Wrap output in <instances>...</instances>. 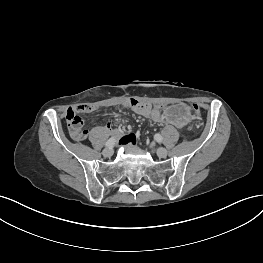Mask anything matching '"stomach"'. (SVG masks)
Returning a JSON list of instances; mask_svg holds the SVG:
<instances>
[{
  "label": "stomach",
  "mask_w": 263,
  "mask_h": 263,
  "mask_svg": "<svg viewBox=\"0 0 263 263\" xmlns=\"http://www.w3.org/2000/svg\"><path fill=\"white\" fill-rule=\"evenodd\" d=\"M164 114L169 119L185 121L190 116V109L185 104H180L178 102H169L164 107Z\"/></svg>",
  "instance_id": "1"
}]
</instances>
